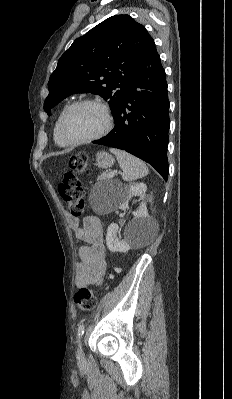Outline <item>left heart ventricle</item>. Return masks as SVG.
I'll return each mask as SVG.
<instances>
[{"instance_id": "left-heart-ventricle-1", "label": "left heart ventricle", "mask_w": 232, "mask_h": 399, "mask_svg": "<svg viewBox=\"0 0 232 399\" xmlns=\"http://www.w3.org/2000/svg\"><path fill=\"white\" fill-rule=\"evenodd\" d=\"M106 124L103 109L96 105L76 106L68 115L66 130L74 139H84L98 134Z\"/></svg>"}]
</instances>
